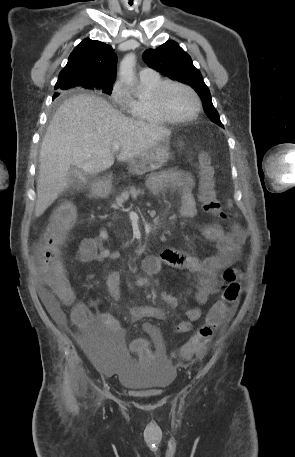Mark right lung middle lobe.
I'll return each instance as SVG.
<instances>
[{
	"mask_svg": "<svg viewBox=\"0 0 295 457\" xmlns=\"http://www.w3.org/2000/svg\"><path fill=\"white\" fill-rule=\"evenodd\" d=\"M76 86L85 87L86 85L82 83V84H74V85H71L70 87H76ZM112 89H113V84H109V85H104V86H96L92 90H101L103 93L110 95L112 93Z\"/></svg>",
	"mask_w": 295,
	"mask_h": 457,
	"instance_id": "1",
	"label": "right lung middle lobe"
}]
</instances>
